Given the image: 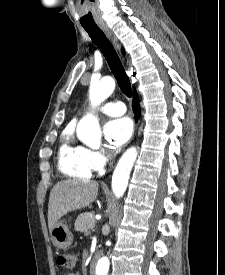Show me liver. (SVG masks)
<instances>
[{
    "mask_svg": "<svg viewBox=\"0 0 225 275\" xmlns=\"http://www.w3.org/2000/svg\"><path fill=\"white\" fill-rule=\"evenodd\" d=\"M98 187L96 181L80 179L63 180L55 184L48 203L49 231L67 213L89 206L97 197Z\"/></svg>",
    "mask_w": 225,
    "mask_h": 275,
    "instance_id": "obj_1",
    "label": "liver"
}]
</instances>
